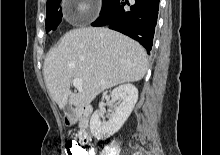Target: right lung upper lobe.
Instances as JSON below:
<instances>
[{
	"label": "right lung upper lobe",
	"mask_w": 220,
	"mask_h": 155,
	"mask_svg": "<svg viewBox=\"0 0 220 155\" xmlns=\"http://www.w3.org/2000/svg\"><path fill=\"white\" fill-rule=\"evenodd\" d=\"M52 1H54V0H47V4L50 3V2H52Z\"/></svg>",
	"instance_id": "right-lung-upper-lobe-1"
}]
</instances>
